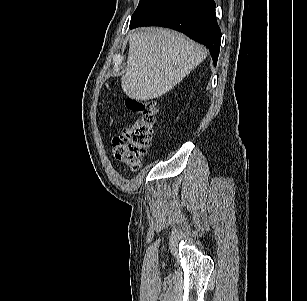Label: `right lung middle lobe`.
I'll return each mask as SVG.
<instances>
[{"label":"right lung middle lobe","instance_id":"1","mask_svg":"<svg viewBox=\"0 0 307 301\" xmlns=\"http://www.w3.org/2000/svg\"><path fill=\"white\" fill-rule=\"evenodd\" d=\"M165 1L167 0H140L137 9L131 17L130 23H133L141 17L145 16L146 14L163 4Z\"/></svg>","mask_w":307,"mask_h":301}]
</instances>
